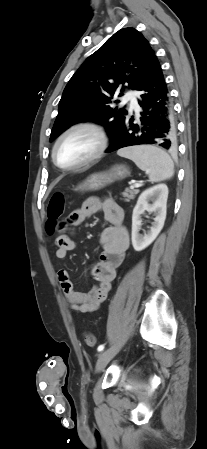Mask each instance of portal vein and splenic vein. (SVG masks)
I'll use <instances>...</instances> for the list:
<instances>
[{
  "label": "portal vein and splenic vein",
  "mask_w": 207,
  "mask_h": 449,
  "mask_svg": "<svg viewBox=\"0 0 207 449\" xmlns=\"http://www.w3.org/2000/svg\"><path fill=\"white\" fill-rule=\"evenodd\" d=\"M140 186H141V184L135 183V184L131 185L130 188H131V189H134V188H138V187H140Z\"/></svg>",
  "instance_id": "18ae733b"
}]
</instances>
